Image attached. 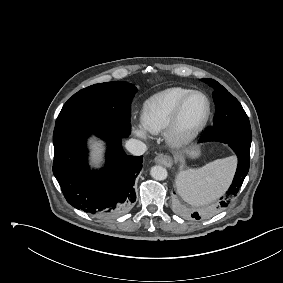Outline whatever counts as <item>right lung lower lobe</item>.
<instances>
[{"mask_svg": "<svg viewBox=\"0 0 283 283\" xmlns=\"http://www.w3.org/2000/svg\"><path fill=\"white\" fill-rule=\"evenodd\" d=\"M95 134L108 144L106 164L90 171L86 139ZM122 136L106 131H84L54 147L53 173L67 202L84 212L109 217L128 210L136 200L134 179L142 169V156H129Z\"/></svg>", "mask_w": 283, "mask_h": 283, "instance_id": "right-lung-lower-lobe-1", "label": "right lung lower lobe"}]
</instances>
